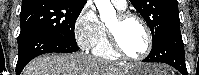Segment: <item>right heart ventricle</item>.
<instances>
[{
    "label": "right heart ventricle",
    "mask_w": 199,
    "mask_h": 75,
    "mask_svg": "<svg viewBox=\"0 0 199 75\" xmlns=\"http://www.w3.org/2000/svg\"><path fill=\"white\" fill-rule=\"evenodd\" d=\"M93 54L107 60H115L119 57L109 42L104 26L102 37L97 45L93 48Z\"/></svg>",
    "instance_id": "right-heart-ventricle-1"
}]
</instances>
